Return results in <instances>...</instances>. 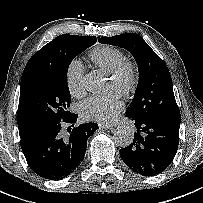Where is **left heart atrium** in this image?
I'll return each instance as SVG.
<instances>
[{"label":"left heart atrium","mask_w":203,"mask_h":203,"mask_svg":"<svg viewBox=\"0 0 203 203\" xmlns=\"http://www.w3.org/2000/svg\"><path fill=\"white\" fill-rule=\"evenodd\" d=\"M122 108V102L116 98L91 96L80 104V114L86 120L110 122Z\"/></svg>","instance_id":"1"}]
</instances>
